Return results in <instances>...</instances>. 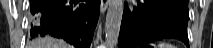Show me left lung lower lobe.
I'll use <instances>...</instances> for the list:
<instances>
[{"instance_id": "obj_1", "label": "left lung lower lobe", "mask_w": 213, "mask_h": 48, "mask_svg": "<svg viewBox=\"0 0 213 48\" xmlns=\"http://www.w3.org/2000/svg\"><path fill=\"white\" fill-rule=\"evenodd\" d=\"M188 0H138L125 8L122 17L118 48H137L172 37L189 48L187 24Z\"/></svg>"}]
</instances>
